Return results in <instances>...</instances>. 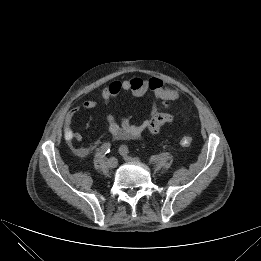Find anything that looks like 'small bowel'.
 <instances>
[{
    "label": "small bowel",
    "instance_id": "1",
    "mask_svg": "<svg viewBox=\"0 0 261 261\" xmlns=\"http://www.w3.org/2000/svg\"><path fill=\"white\" fill-rule=\"evenodd\" d=\"M121 92H129L135 96L150 93L152 97L151 112L150 116L139 124L132 123L127 117L116 119L112 113H108L106 121L108 131L113 138L140 139L146 135L153 136L159 132L162 125L172 122L168 108L173 101L178 99L179 92L175 88L165 85L161 79L157 77L145 79L135 76L129 79L112 81L102 89L103 103L108 105ZM97 105L96 101L86 100L81 105L68 111L64 124L66 140L70 142L82 140L81 134L75 132L72 128L73 118L81 109L90 110L96 108ZM89 151L90 149L85 146L75 148V152L81 157L86 156Z\"/></svg>",
    "mask_w": 261,
    "mask_h": 261
}]
</instances>
